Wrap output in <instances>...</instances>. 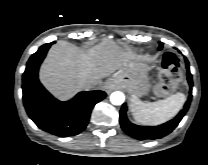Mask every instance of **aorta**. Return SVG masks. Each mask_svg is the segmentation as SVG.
<instances>
[{"instance_id":"aorta-1","label":"aorta","mask_w":208,"mask_h":165,"mask_svg":"<svg viewBox=\"0 0 208 165\" xmlns=\"http://www.w3.org/2000/svg\"><path fill=\"white\" fill-rule=\"evenodd\" d=\"M125 100V96L122 92L116 91L113 92L110 96V101L113 105H121Z\"/></svg>"}]
</instances>
